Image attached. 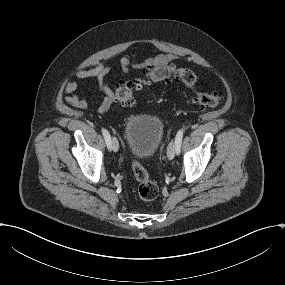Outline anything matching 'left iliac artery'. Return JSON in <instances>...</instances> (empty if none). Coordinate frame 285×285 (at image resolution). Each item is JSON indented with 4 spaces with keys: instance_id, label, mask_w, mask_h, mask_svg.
Here are the masks:
<instances>
[{
    "instance_id": "obj_1",
    "label": "left iliac artery",
    "mask_w": 285,
    "mask_h": 285,
    "mask_svg": "<svg viewBox=\"0 0 285 285\" xmlns=\"http://www.w3.org/2000/svg\"><path fill=\"white\" fill-rule=\"evenodd\" d=\"M183 133H184V130L181 129L177 132V135L175 137V145H176V148H177V154L180 153V147H181V142H182V137H183Z\"/></svg>"
}]
</instances>
